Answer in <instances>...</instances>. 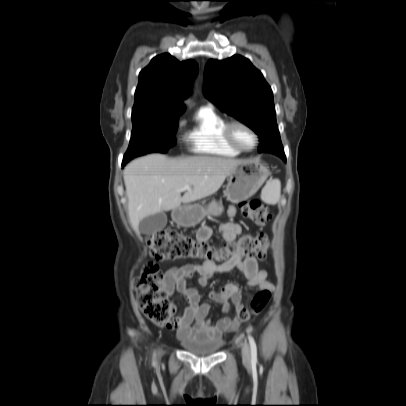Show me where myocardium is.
Here are the masks:
<instances>
[{
  "label": "myocardium",
  "instance_id": "1",
  "mask_svg": "<svg viewBox=\"0 0 406 406\" xmlns=\"http://www.w3.org/2000/svg\"><path fill=\"white\" fill-rule=\"evenodd\" d=\"M236 126L244 127V128H246V129L252 134V136H253V138H254V144H253L252 147H250V148H245V147H243V146H241V145H239V144L237 143V141L235 140V138H234V136H233V129H234ZM224 136H225L226 141H227L231 146H233V147L236 148L237 150L243 151V152H249V151H252L253 149H255L256 146H257V144H258V141H259L258 134H257L256 131L253 129V127L250 126L248 123H246V122H244V121H241V120H232V121L227 122V124H226V126H225V130H224Z\"/></svg>",
  "mask_w": 406,
  "mask_h": 406
}]
</instances>
